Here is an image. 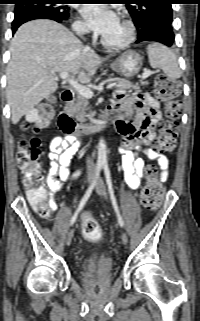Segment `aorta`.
Here are the masks:
<instances>
[{"label":"aorta","instance_id":"762f6f07","mask_svg":"<svg viewBox=\"0 0 200 321\" xmlns=\"http://www.w3.org/2000/svg\"><path fill=\"white\" fill-rule=\"evenodd\" d=\"M98 164H104L107 162V147L104 139H100L98 144Z\"/></svg>","mask_w":200,"mask_h":321}]
</instances>
